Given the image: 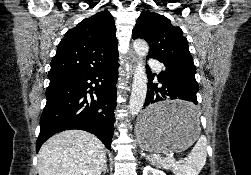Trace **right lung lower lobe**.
Wrapping results in <instances>:
<instances>
[{
    "label": "right lung lower lobe",
    "mask_w": 251,
    "mask_h": 175,
    "mask_svg": "<svg viewBox=\"0 0 251 175\" xmlns=\"http://www.w3.org/2000/svg\"><path fill=\"white\" fill-rule=\"evenodd\" d=\"M118 66L117 59L104 68L50 79L36 152L52 135L69 129L88 131L111 149Z\"/></svg>",
    "instance_id": "obj_1"
}]
</instances>
